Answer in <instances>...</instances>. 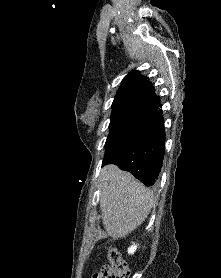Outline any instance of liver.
Here are the masks:
<instances>
[{
    "instance_id": "obj_1",
    "label": "liver",
    "mask_w": 221,
    "mask_h": 278,
    "mask_svg": "<svg viewBox=\"0 0 221 278\" xmlns=\"http://www.w3.org/2000/svg\"><path fill=\"white\" fill-rule=\"evenodd\" d=\"M100 176L102 223L113 239L124 237L145 221L153 196L130 173L115 165L105 166Z\"/></svg>"
}]
</instances>
